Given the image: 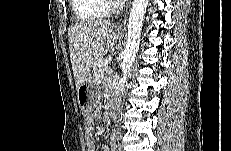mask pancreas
Masks as SVG:
<instances>
[{
  "mask_svg": "<svg viewBox=\"0 0 231 151\" xmlns=\"http://www.w3.org/2000/svg\"><path fill=\"white\" fill-rule=\"evenodd\" d=\"M104 61V59L98 60L97 63L94 66V78L97 82L102 81V79L104 78V76L110 72V67H108L107 65L104 66L102 64V62Z\"/></svg>",
  "mask_w": 231,
  "mask_h": 151,
  "instance_id": "pancreas-1",
  "label": "pancreas"
}]
</instances>
